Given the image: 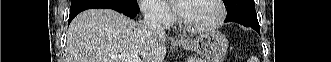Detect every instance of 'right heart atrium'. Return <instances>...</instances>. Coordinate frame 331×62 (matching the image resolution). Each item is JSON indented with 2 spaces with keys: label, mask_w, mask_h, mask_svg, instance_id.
<instances>
[{
  "label": "right heart atrium",
  "mask_w": 331,
  "mask_h": 62,
  "mask_svg": "<svg viewBox=\"0 0 331 62\" xmlns=\"http://www.w3.org/2000/svg\"><path fill=\"white\" fill-rule=\"evenodd\" d=\"M140 8L146 18L162 24H168L173 17L170 9L159 0H141Z\"/></svg>",
  "instance_id": "obj_1"
}]
</instances>
